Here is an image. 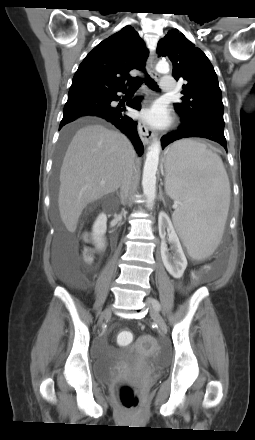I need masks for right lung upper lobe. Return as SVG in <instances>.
<instances>
[{
	"label": "right lung upper lobe",
	"instance_id": "cb5924a9",
	"mask_svg": "<svg viewBox=\"0 0 255 440\" xmlns=\"http://www.w3.org/2000/svg\"><path fill=\"white\" fill-rule=\"evenodd\" d=\"M148 51L138 33L130 26L99 43L76 71L68 98L110 93L125 87L133 79L129 72L141 70Z\"/></svg>",
	"mask_w": 255,
	"mask_h": 440
}]
</instances>
